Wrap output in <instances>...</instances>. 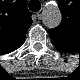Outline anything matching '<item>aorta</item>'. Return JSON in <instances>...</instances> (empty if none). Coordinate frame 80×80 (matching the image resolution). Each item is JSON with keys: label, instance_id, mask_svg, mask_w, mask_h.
<instances>
[{"label": "aorta", "instance_id": "aorta-1", "mask_svg": "<svg viewBox=\"0 0 80 80\" xmlns=\"http://www.w3.org/2000/svg\"><path fill=\"white\" fill-rule=\"evenodd\" d=\"M62 19V14L58 7L48 8L47 13L44 17V23L51 28L57 27Z\"/></svg>", "mask_w": 80, "mask_h": 80}]
</instances>
